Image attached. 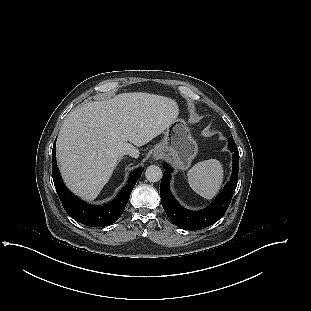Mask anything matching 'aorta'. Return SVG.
Listing matches in <instances>:
<instances>
[{
  "instance_id": "762f6f07",
  "label": "aorta",
  "mask_w": 311,
  "mask_h": 311,
  "mask_svg": "<svg viewBox=\"0 0 311 311\" xmlns=\"http://www.w3.org/2000/svg\"><path fill=\"white\" fill-rule=\"evenodd\" d=\"M162 170L160 167L156 166V165H151L149 167H147L146 171H145V176L146 179L149 182H158L161 180L162 178Z\"/></svg>"
}]
</instances>
